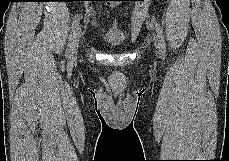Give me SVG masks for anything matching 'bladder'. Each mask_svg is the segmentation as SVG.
<instances>
[{
  "mask_svg": "<svg viewBox=\"0 0 229 161\" xmlns=\"http://www.w3.org/2000/svg\"><path fill=\"white\" fill-rule=\"evenodd\" d=\"M104 40L111 46H119L123 43L124 35L118 29L111 28L105 33Z\"/></svg>",
  "mask_w": 229,
  "mask_h": 161,
  "instance_id": "1",
  "label": "bladder"
}]
</instances>
